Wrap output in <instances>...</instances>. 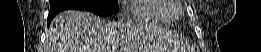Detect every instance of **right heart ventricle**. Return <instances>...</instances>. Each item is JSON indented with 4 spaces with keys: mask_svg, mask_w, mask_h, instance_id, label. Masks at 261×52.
Returning <instances> with one entry per match:
<instances>
[{
    "mask_svg": "<svg viewBox=\"0 0 261 52\" xmlns=\"http://www.w3.org/2000/svg\"><path fill=\"white\" fill-rule=\"evenodd\" d=\"M127 19L139 23L169 24L174 20L172 1L134 0Z\"/></svg>",
    "mask_w": 261,
    "mask_h": 52,
    "instance_id": "right-heart-ventricle-1",
    "label": "right heart ventricle"
}]
</instances>
